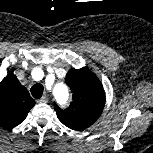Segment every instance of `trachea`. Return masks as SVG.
Returning a JSON list of instances; mask_svg holds the SVG:
<instances>
[{"instance_id": "obj_1", "label": "trachea", "mask_w": 153, "mask_h": 153, "mask_svg": "<svg viewBox=\"0 0 153 153\" xmlns=\"http://www.w3.org/2000/svg\"><path fill=\"white\" fill-rule=\"evenodd\" d=\"M43 91H44V87L42 84L37 83L31 87V94L36 99L41 98Z\"/></svg>"}]
</instances>
